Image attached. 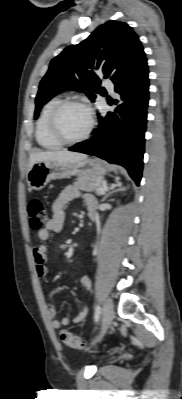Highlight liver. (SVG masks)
Returning a JSON list of instances; mask_svg holds the SVG:
<instances>
[{
  "mask_svg": "<svg viewBox=\"0 0 182 399\" xmlns=\"http://www.w3.org/2000/svg\"><path fill=\"white\" fill-rule=\"evenodd\" d=\"M85 158H87V156L83 153L70 152L68 150L37 152L30 155L28 171L35 163L41 161L75 163Z\"/></svg>",
  "mask_w": 182,
  "mask_h": 399,
  "instance_id": "6515ba94",
  "label": "liver"
}]
</instances>
